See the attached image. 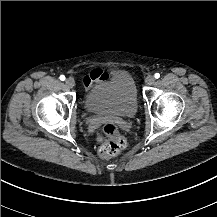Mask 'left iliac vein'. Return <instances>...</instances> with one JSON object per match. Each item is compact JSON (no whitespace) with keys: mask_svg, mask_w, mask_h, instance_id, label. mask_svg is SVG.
Returning <instances> with one entry per match:
<instances>
[{"mask_svg":"<svg viewBox=\"0 0 217 217\" xmlns=\"http://www.w3.org/2000/svg\"><path fill=\"white\" fill-rule=\"evenodd\" d=\"M145 82H146V84L149 85V86L153 85L154 82H155L154 76L148 75V76L146 77V79H145Z\"/></svg>","mask_w":217,"mask_h":217,"instance_id":"1","label":"left iliac vein"}]
</instances>
